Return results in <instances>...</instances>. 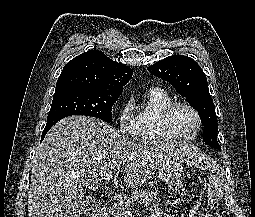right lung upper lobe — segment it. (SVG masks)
<instances>
[{
  "mask_svg": "<svg viewBox=\"0 0 255 217\" xmlns=\"http://www.w3.org/2000/svg\"><path fill=\"white\" fill-rule=\"evenodd\" d=\"M132 69L108 58L98 50H89L69 61L60 74L56 89L85 87L121 92L131 79Z\"/></svg>",
  "mask_w": 255,
  "mask_h": 217,
  "instance_id": "right-lung-upper-lobe-1",
  "label": "right lung upper lobe"
}]
</instances>
